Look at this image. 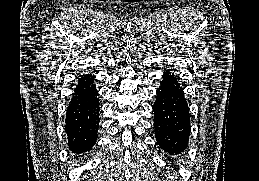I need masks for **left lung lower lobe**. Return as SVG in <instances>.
Masks as SVG:
<instances>
[{
  "mask_svg": "<svg viewBox=\"0 0 259 181\" xmlns=\"http://www.w3.org/2000/svg\"><path fill=\"white\" fill-rule=\"evenodd\" d=\"M153 105L154 129L157 143L170 155L183 152L190 133L189 107L178 78L164 71Z\"/></svg>",
  "mask_w": 259,
  "mask_h": 181,
  "instance_id": "left-lung-lower-lobe-1",
  "label": "left lung lower lobe"
}]
</instances>
